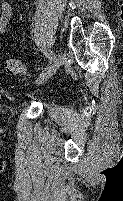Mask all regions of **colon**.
<instances>
[{
	"label": "colon",
	"instance_id": "1",
	"mask_svg": "<svg viewBox=\"0 0 123 201\" xmlns=\"http://www.w3.org/2000/svg\"><path fill=\"white\" fill-rule=\"evenodd\" d=\"M6 69L11 75H21L25 71V65L21 60L12 58L7 61Z\"/></svg>",
	"mask_w": 123,
	"mask_h": 201
}]
</instances>
